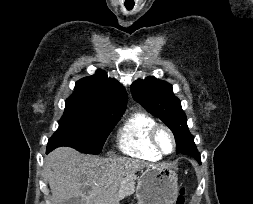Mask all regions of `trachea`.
I'll list each match as a JSON object with an SVG mask.
<instances>
[{
	"label": "trachea",
	"mask_w": 253,
	"mask_h": 204,
	"mask_svg": "<svg viewBox=\"0 0 253 204\" xmlns=\"http://www.w3.org/2000/svg\"><path fill=\"white\" fill-rule=\"evenodd\" d=\"M125 7H126L127 10H132L134 5H125Z\"/></svg>",
	"instance_id": "trachea-1"
}]
</instances>
